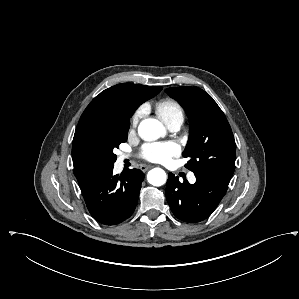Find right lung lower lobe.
<instances>
[{
	"label": "right lung lower lobe",
	"mask_w": 299,
	"mask_h": 299,
	"mask_svg": "<svg viewBox=\"0 0 299 299\" xmlns=\"http://www.w3.org/2000/svg\"><path fill=\"white\" fill-rule=\"evenodd\" d=\"M143 179L139 169L113 175L111 167L79 186L93 218L102 224L115 225L134 212Z\"/></svg>",
	"instance_id": "obj_1"
}]
</instances>
